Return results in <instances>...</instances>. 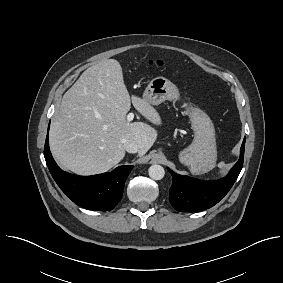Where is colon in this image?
<instances>
[{
  "mask_svg": "<svg viewBox=\"0 0 283 283\" xmlns=\"http://www.w3.org/2000/svg\"><path fill=\"white\" fill-rule=\"evenodd\" d=\"M153 65H156V66H158V67H161L162 66V62H160V61H157V62H154V63H152Z\"/></svg>",
  "mask_w": 283,
  "mask_h": 283,
  "instance_id": "obj_1",
  "label": "colon"
}]
</instances>
